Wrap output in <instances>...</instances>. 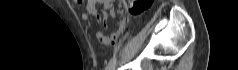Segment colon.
<instances>
[{
    "mask_svg": "<svg viewBox=\"0 0 238 70\" xmlns=\"http://www.w3.org/2000/svg\"><path fill=\"white\" fill-rule=\"evenodd\" d=\"M151 1L152 0H130L126 1V5L131 14L139 15L151 5ZM75 2L81 3L82 0H75Z\"/></svg>",
    "mask_w": 238,
    "mask_h": 70,
    "instance_id": "obj_1",
    "label": "colon"
}]
</instances>
